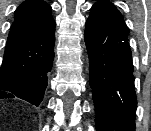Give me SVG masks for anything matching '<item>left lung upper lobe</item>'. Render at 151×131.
Returning a JSON list of instances; mask_svg holds the SVG:
<instances>
[{
  "instance_id": "1",
  "label": "left lung upper lobe",
  "mask_w": 151,
  "mask_h": 131,
  "mask_svg": "<svg viewBox=\"0 0 151 131\" xmlns=\"http://www.w3.org/2000/svg\"><path fill=\"white\" fill-rule=\"evenodd\" d=\"M99 2H108V1H106V0H100V1H98L97 3H99Z\"/></svg>"
}]
</instances>
